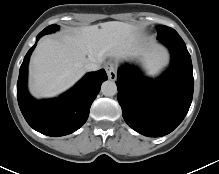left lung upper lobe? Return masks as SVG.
I'll use <instances>...</instances> for the list:
<instances>
[{
  "label": "left lung upper lobe",
  "instance_id": "1",
  "mask_svg": "<svg viewBox=\"0 0 219 174\" xmlns=\"http://www.w3.org/2000/svg\"><path fill=\"white\" fill-rule=\"evenodd\" d=\"M157 32H158V39H164V38H178L180 37L179 34L172 28L167 27L165 25H158L156 26Z\"/></svg>",
  "mask_w": 219,
  "mask_h": 174
}]
</instances>
